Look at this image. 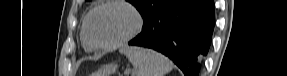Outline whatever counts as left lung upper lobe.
I'll list each match as a JSON object with an SVG mask.
<instances>
[{"label":"left lung upper lobe","mask_w":287,"mask_h":76,"mask_svg":"<svg viewBox=\"0 0 287 76\" xmlns=\"http://www.w3.org/2000/svg\"><path fill=\"white\" fill-rule=\"evenodd\" d=\"M133 4L143 17L144 23L173 0H127Z\"/></svg>","instance_id":"5c2ea615"}]
</instances>
